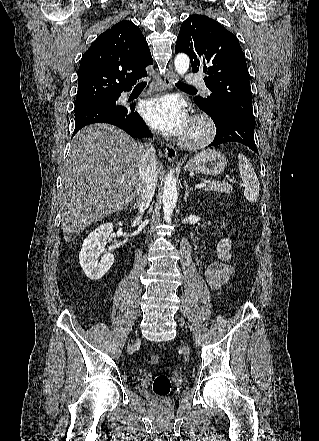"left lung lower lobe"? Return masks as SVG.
Returning a JSON list of instances; mask_svg holds the SVG:
<instances>
[{
  "label": "left lung lower lobe",
  "mask_w": 319,
  "mask_h": 441,
  "mask_svg": "<svg viewBox=\"0 0 319 441\" xmlns=\"http://www.w3.org/2000/svg\"><path fill=\"white\" fill-rule=\"evenodd\" d=\"M212 119L217 127V131L214 141L209 146L238 142L258 152L253 134L255 120L235 113H226L219 119Z\"/></svg>",
  "instance_id": "1"
}]
</instances>
